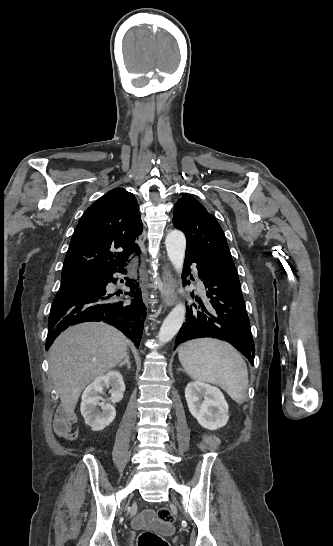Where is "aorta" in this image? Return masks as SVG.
I'll return each mask as SVG.
<instances>
[{"instance_id":"aorta-1","label":"aorta","mask_w":333,"mask_h":546,"mask_svg":"<svg viewBox=\"0 0 333 546\" xmlns=\"http://www.w3.org/2000/svg\"><path fill=\"white\" fill-rule=\"evenodd\" d=\"M165 246L168 257L174 269L178 273H181L186 249V239L184 234L179 230L170 231L166 236ZM185 313V306L181 303L176 305L169 313L158 334V338L161 343L169 342L178 333L184 322Z\"/></svg>"}]
</instances>
